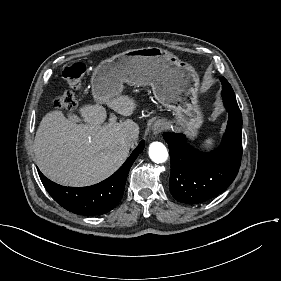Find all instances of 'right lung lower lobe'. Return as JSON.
Returning <instances> with one entry per match:
<instances>
[{"label":"right lung lower lobe","mask_w":281,"mask_h":281,"mask_svg":"<svg viewBox=\"0 0 281 281\" xmlns=\"http://www.w3.org/2000/svg\"><path fill=\"white\" fill-rule=\"evenodd\" d=\"M143 148L144 141H141L112 176L92 186H61L46 178L39 170L38 172L48 193L66 210L81 215H102L112 210L121 200L129 170Z\"/></svg>","instance_id":"obj_1"}]
</instances>
